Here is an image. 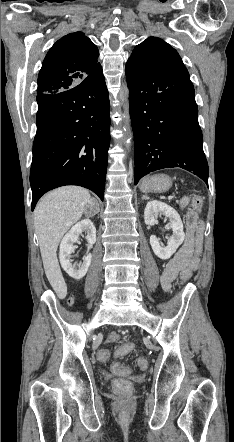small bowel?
<instances>
[{"label": "small bowel", "instance_id": "small-bowel-1", "mask_svg": "<svg viewBox=\"0 0 234 442\" xmlns=\"http://www.w3.org/2000/svg\"><path fill=\"white\" fill-rule=\"evenodd\" d=\"M187 204H188V198L185 197L181 200L182 209H185ZM187 219L189 227L188 240L178 250V252L174 255V257L167 262L161 276V283L165 290H169L171 288L172 283L175 281L179 273H183L187 268H189L188 263L191 261V252H192L190 235L193 230V223L195 221V216L188 214ZM115 339H116L115 335H112L110 338L111 341Z\"/></svg>", "mask_w": 234, "mask_h": 442}]
</instances>
